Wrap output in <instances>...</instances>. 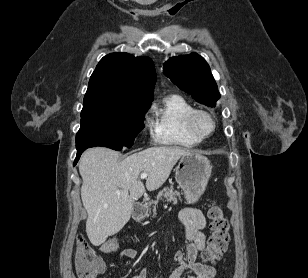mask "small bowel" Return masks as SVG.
Masks as SVG:
<instances>
[{
    "label": "small bowel",
    "mask_w": 308,
    "mask_h": 278,
    "mask_svg": "<svg viewBox=\"0 0 308 278\" xmlns=\"http://www.w3.org/2000/svg\"><path fill=\"white\" fill-rule=\"evenodd\" d=\"M179 219L184 227L185 245L183 250H177L174 253L177 267L169 278H182L185 270L191 272L187 278H213L215 276L213 265L201 259V253L206 246V237L203 233L206 226L204 214L197 208L187 207L179 212ZM137 256L138 252L133 248H124L119 251V257L126 265H129ZM132 278H148V270L142 268Z\"/></svg>",
    "instance_id": "1"
}]
</instances>
